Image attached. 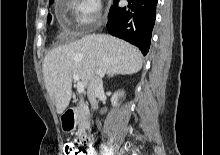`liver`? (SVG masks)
Masks as SVG:
<instances>
[{"mask_svg": "<svg viewBox=\"0 0 220 155\" xmlns=\"http://www.w3.org/2000/svg\"><path fill=\"white\" fill-rule=\"evenodd\" d=\"M141 68L142 54L136 47L110 35L91 34L49 51L43 75L57 113L62 114L71 99L73 74L87 87L98 69L109 75H130Z\"/></svg>", "mask_w": 220, "mask_h": 155, "instance_id": "obj_1", "label": "liver"}]
</instances>
